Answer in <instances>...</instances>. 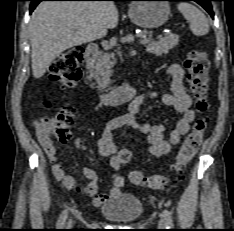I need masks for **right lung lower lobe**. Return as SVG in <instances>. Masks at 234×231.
<instances>
[{
	"label": "right lung lower lobe",
	"instance_id": "obj_1",
	"mask_svg": "<svg viewBox=\"0 0 234 231\" xmlns=\"http://www.w3.org/2000/svg\"><path fill=\"white\" fill-rule=\"evenodd\" d=\"M31 1L30 5V13L35 9V7L41 2V1H86V0H29ZM88 1V0H87ZM90 1V0H89ZM92 1V0H91ZM119 1V0H114Z\"/></svg>",
	"mask_w": 234,
	"mask_h": 231
}]
</instances>
